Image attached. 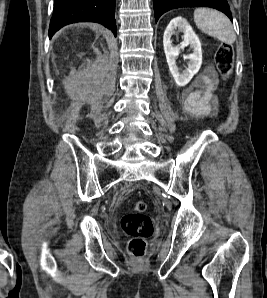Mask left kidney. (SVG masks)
Returning a JSON list of instances; mask_svg holds the SVG:
<instances>
[{
  "mask_svg": "<svg viewBox=\"0 0 267 298\" xmlns=\"http://www.w3.org/2000/svg\"><path fill=\"white\" fill-rule=\"evenodd\" d=\"M176 29L184 33V40L180 46L174 47L171 43L172 35ZM163 46L169 70L179 87L187 85L193 76L199 71L202 64V49L198 36L193 31L186 19L176 17L172 19L167 26L163 36ZM190 46L192 53L184 58L189 59L188 68L182 72L176 65V58L180 53V49Z\"/></svg>",
  "mask_w": 267,
  "mask_h": 298,
  "instance_id": "obj_1",
  "label": "left kidney"
}]
</instances>
